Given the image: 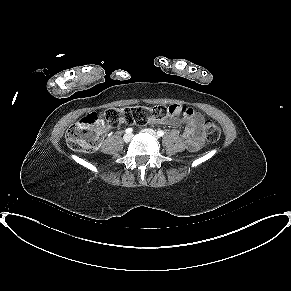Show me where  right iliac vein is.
Segmentation results:
<instances>
[{"instance_id": "obj_1", "label": "right iliac vein", "mask_w": 291, "mask_h": 291, "mask_svg": "<svg viewBox=\"0 0 291 291\" xmlns=\"http://www.w3.org/2000/svg\"><path fill=\"white\" fill-rule=\"evenodd\" d=\"M132 139V134H125L123 140L125 143H128Z\"/></svg>"}]
</instances>
